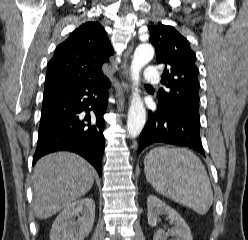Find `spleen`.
Here are the masks:
<instances>
[{
    "label": "spleen",
    "mask_w": 248,
    "mask_h": 240,
    "mask_svg": "<svg viewBox=\"0 0 248 240\" xmlns=\"http://www.w3.org/2000/svg\"><path fill=\"white\" fill-rule=\"evenodd\" d=\"M144 172L152 187L165 197L204 215L213 191L200 159L186 148L156 147L144 159Z\"/></svg>",
    "instance_id": "1"
}]
</instances>
